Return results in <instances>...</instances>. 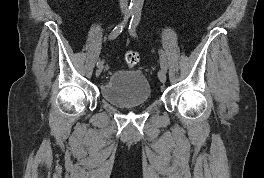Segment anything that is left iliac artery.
<instances>
[{"mask_svg":"<svg viewBox=\"0 0 264 178\" xmlns=\"http://www.w3.org/2000/svg\"><path fill=\"white\" fill-rule=\"evenodd\" d=\"M140 17H141V12L140 10H136L134 11L133 15H132V19L130 21V25H129V33L130 35H132L133 37H136V27L140 21ZM160 54V66L163 70L167 71V60H166V56L163 53L162 50H160L159 52Z\"/></svg>","mask_w":264,"mask_h":178,"instance_id":"44dca946","label":"left iliac artery"}]
</instances>
